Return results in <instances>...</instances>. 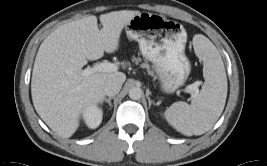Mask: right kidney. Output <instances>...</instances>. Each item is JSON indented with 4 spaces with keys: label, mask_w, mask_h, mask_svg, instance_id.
Wrapping results in <instances>:
<instances>
[{
    "label": "right kidney",
    "mask_w": 267,
    "mask_h": 166,
    "mask_svg": "<svg viewBox=\"0 0 267 166\" xmlns=\"http://www.w3.org/2000/svg\"><path fill=\"white\" fill-rule=\"evenodd\" d=\"M103 112L97 106H91L83 112V118L89 128H97L102 121Z\"/></svg>",
    "instance_id": "1"
}]
</instances>
